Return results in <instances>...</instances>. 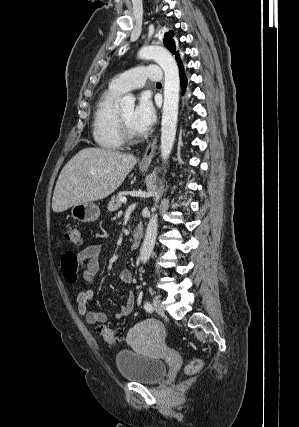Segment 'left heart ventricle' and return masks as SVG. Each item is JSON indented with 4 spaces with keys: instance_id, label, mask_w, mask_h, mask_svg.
<instances>
[{
    "instance_id": "1",
    "label": "left heart ventricle",
    "mask_w": 299,
    "mask_h": 427,
    "mask_svg": "<svg viewBox=\"0 0 299 427\" xmlns=\"http://www.w3.org/2000/svg\"><path fill=\"white\" fill-rule=\"evenodd\" d=\"M120 111H121L123 118L125 119V121L129 125V127L134 132L138 133V131L134 128V126L132 124V115H133V111H134L133 108L132 107H126V108L120 109Z\"/></svg>"
}]
</instances>
